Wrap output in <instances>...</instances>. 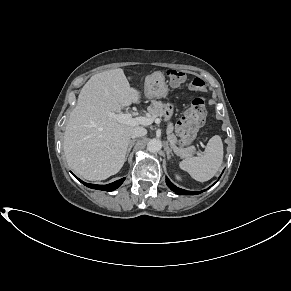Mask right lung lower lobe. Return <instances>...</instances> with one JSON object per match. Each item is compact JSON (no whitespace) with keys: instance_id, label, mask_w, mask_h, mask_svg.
Returning <instances> with one entry per match:
<instances>
[{"instance_id":"98d812e1","label":"right lung lower lobe","mask_w":291,"mask_h":291,"mask_svg":"<svg viewBox=\"0 0 291 291\" xmlns=\"http://www.w3.org/2000/svg\"><path fill=\"white\" fill-rule=\"evenodd\" d=\"M80 182H82L85 186L92 188V189H97V190H103V191H113L117 189L125 180V178L119 179L113 183L107 184V185H96V184H89L81 181L78 179Z\"/></svg>"}]
</instances>
